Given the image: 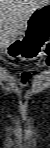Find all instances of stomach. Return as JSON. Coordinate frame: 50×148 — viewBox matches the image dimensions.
Masks as SVG:
<instances>
[{
	"label": "stomach",
	"mask_w": 50,
	"mask_h": 148,
	"mask_svg": "<svg viewBox=\"0 0 50 148\" xmlns=\"http://www.w3.org/2000/svg\"><path fill=\"white\" fill-rule=\"evenodd\" d=\"M50 37V7L36 10L28 19L24 40L19 46L9 45L2 59L28 62L38 58Z\"/></svg>",
	"instance_id": "1"
}]
</instances>
